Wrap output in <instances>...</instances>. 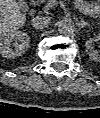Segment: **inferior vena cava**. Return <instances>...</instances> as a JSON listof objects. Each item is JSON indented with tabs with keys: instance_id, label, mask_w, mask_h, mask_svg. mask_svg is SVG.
Instances as JSON below:
<instances>
[{
	"instance_id": "obj_1",
	"label": "inferior vena cava",
	"mask_w": 100,
	"mask_h": 118,
	"mask_svg": "<svg viewBox=\"0 0 100 118\" xmlns=\"http://www.w3.org/2000/svg\"><path fill=\"white\" fill-rule=\"evenodd\" d=\"M50 24V18L48 16H36L32 19L33 27L37 29H44Z\"/></svg>"
}]
</instances>
